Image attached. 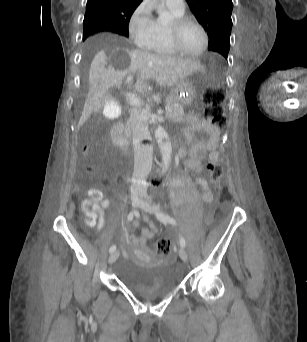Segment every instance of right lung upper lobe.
I'll use <instances>...</instances> for the list:
<instances>
[{
    "label": "right lung upper lobe",
    "mask_w": 307,
    "mask_h": 342,
    "mask_svg": "<svg viewBox=\"0 0 307 342\" xmlns=\"http://www.w3.org/2000/svg\"><path fill=\"white\" fill-rule=\"evenodd\" d=\"M142 0H88L86 14L99 18L110 30L128 31L130 17Z\"/></svg>",
    "instance_id": "1"
}]
</instances>
